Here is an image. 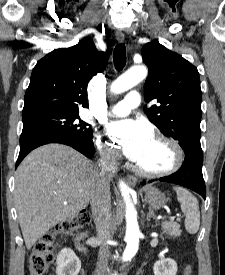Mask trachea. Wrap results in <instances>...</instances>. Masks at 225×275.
Listing matches in <instances>:
<instances>
[{
	"instance_id": "trachea-1",
	"label": "trachea",
	"mask_w": 225,
	"mask_h": 275,
	"mask_svg": "<svg viewBox=\"0 0 225 275\" xmlns=\"http://www.w3.org/2000/svg\"><path fill=\"white\" fill-rule=\"evenodd\" d=\"M113 61L117 71H121L126 64V48L123 43L116 45L113 52Z\"/></svg>"
}]
</instances>
